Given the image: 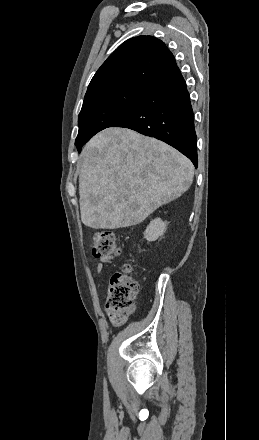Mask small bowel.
<instances>
[{
  "mask_svg": "<svg viewBox=\"0 0 259 440\" xmlns=\"http://www.w3.org/2000/svg\"><path fill=\"white\" fill-rule=\"evenodd\" d=\"M114 257H102L99 262L94 265V270L97 273H103L106 265H112Z\"/></svg>",
  "mask_w": 259,
  "mask_h": 440,
  "instance_id": "c3829d8e",
  "label": "small bowel"
}]
</instances>
